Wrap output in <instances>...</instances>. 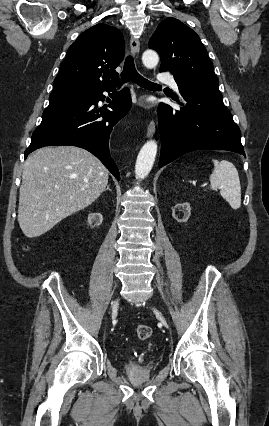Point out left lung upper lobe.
<instances>
[{
    "label": "left lung upper lobe",
    "instance_id": "left-lung-upper-lobe-1",
    "mask_svg": "<svg viewBox=\"0 0 269 426\" xmlns=\"http://www.w3.org/2000/svg\"><path fill=\"white\" fill-rule=\"evenodd\" d=\"M148 46L160 54V70L170 71L191 86L219 84L199 36L178 19L163 20Z\"/></svg>",
    "mask_w": 269,
    "mask_h": 426
}]
</instances>
